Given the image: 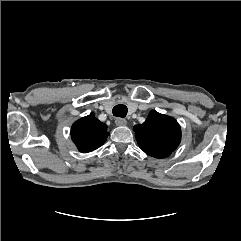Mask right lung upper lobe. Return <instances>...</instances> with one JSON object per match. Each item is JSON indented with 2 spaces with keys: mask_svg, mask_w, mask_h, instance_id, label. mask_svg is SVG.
Instances as JSON below:
<instances>
[{
  "mask_svg": "<svg viewBox=\"0 0 241 241\" xmlns=\"http://www.w3.org/2000/svg\"><path fill=\"white\" fill-rule=\"evenodd\" d=\"M108 135L107 125L96 119L93 113L77 120L71 128L72 140L82 153L102 146Z\"/></svg>",
  "mask_w": 241,
  "mask_h": 241,
  "instance_id": "cb5924a9",
  "label": "right lung upper lobe"
}]
</instances>
